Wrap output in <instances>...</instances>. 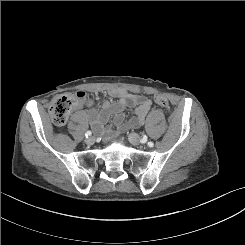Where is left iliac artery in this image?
<instances>
[{
    "mask_svg": "<svg viewBox=\"0 0 245 245\" xmlns=\"http://www.w3.org/2000/svg\"><path fill=\"white\" fill-rule=\"evenodd\" d=\"M147 140V137L146 136H144L143 138H142V142H145ZM153 142H148V146L149 147H153Z\"/></svg>",
    "mask_w": 245,
    "mask_h": 245,
    "instance_id": "left-iliac-artery-1",
    "label": "left iliac artery"
}]
</instances>
